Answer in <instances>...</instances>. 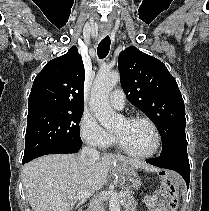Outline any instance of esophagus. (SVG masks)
<instances>
[{
    "label": "esophagus",
    "instance_id": "obj_1",
    "mask_svg": "<svg viewBox=\"0 0 209 211\" xmlns=\"http://www.w3.org/2000/svg\"><path fill=\"white\" fill-rule=\"evenodd\" d=\"M102 34H103V35H107V34H108V31H107V30H103V31H102Z\"/></svg>",
    "mask_w": 209,
    "mask_h": 211
}]
</instances>
